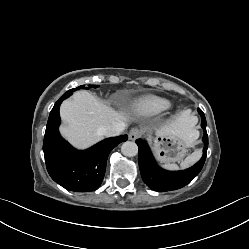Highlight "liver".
I'll return each mask as SVG.
<instances>
[{"mask_svg": "<svg viewBox=\"0 0 249 249\" xmlns=\"http://www.w3.org/2000/svg\"><path fill=\"white\" fill-rule=\"evenodd\" d=\"M60 116L64 123L60 127L62 136L79 149L99 142L103 138L99 133L102 127L129 120L126 112L115 111L85 90L76 92L72 99L62 103ZM196 123L197 118L184 111L163 125L158 133L180 134L191 145L199 135L193 129Z\"/></svg>", "mask_w": 249, "mask_h": 249, "instance_id": "liver-1", "label": "liver"}]
</instances>
